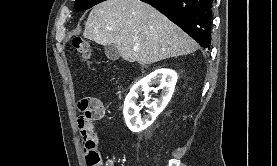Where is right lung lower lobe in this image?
<instances>
[{"label":"right lung lower lobe","instance_id":"right-lung-lower-lobe-1","mask_svg":"<svg viewBox=\"0 0 277 166\" xmlns=\"http://www.w3.org/2000/svg\"><path fill=\"white\" fill-rule=\"evenodd\" d=\"M149 3L195 39L210 49L212 0H141Z\"/></svg>","mask_w":277,"mask_h":166}]
</instances>
